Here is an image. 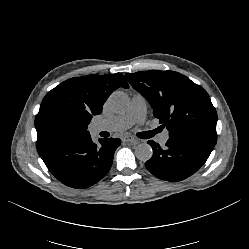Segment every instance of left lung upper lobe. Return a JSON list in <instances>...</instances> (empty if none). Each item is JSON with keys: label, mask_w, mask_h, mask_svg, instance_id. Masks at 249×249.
I'll use <instances>...</instances> for the list:
<instances>
[{"label": "left lung upper lobe", "mask_w": 249, "mask_h": 249, "mask_svg": "<svg viewBox=\"0 0 249 249\" xmlns=\"http://www.w3.org/2000/svg\"><path fill=\"white\" fill-rule=\"evenodd\" d=\"M126 78L150 103L170 138L216 144V109L201 86L174 71L126 73Z\"/></svg>", "instance_id": "1"}]
</instances>
